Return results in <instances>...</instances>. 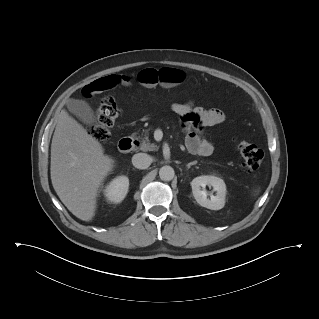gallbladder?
<instances>
[{
	"instance_id": "gallbladder-1",
	"label": "gallbladder",
	"mask_w": 319,
	"mask_h": 319,
	"mask_svg": "<svg viewBox=\"0 0 319 319\" xmlns=\"http://www.w3.org/2000/svg\"><path fill=\"white\" fill-rule=\"evenodd\" d=\"M68 110L76 115L83 123L87 125L96 124V117L90 105L82 100L69 99L67 101Z\"/></svg>"
}]
</instances>
